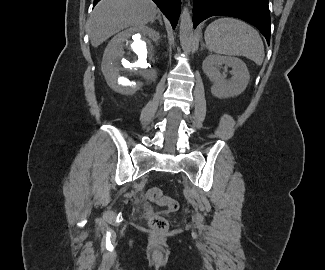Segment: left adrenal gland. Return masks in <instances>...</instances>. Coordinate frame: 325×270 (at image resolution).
<instances>
[{
    "instance_id": "left-adrenal-gland-1",
    "label": "left adrenal gland",
    "mask_w": 325,
    "mask_h": 270,
    "mask_svg": "<svg viewBox=\"0 0 325 270\" xmlns=\"http://www.w3.org/2000/svg\"><path fill=\"white\" fill-rule=\"evenodd\" d=\"M204 47H206V45L203 42H201V50L204 49Z\"/></svg>"
}]
</instances>
